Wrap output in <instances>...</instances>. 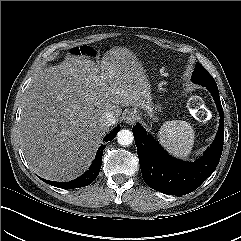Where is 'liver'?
I'll use <instances>...</instances> for the list:
<instances>
[{"label":"liver","mask_w":241,"mask_h":241,"mask_svg":"<svg viewBox=\"0 0 241 241\" xmlns=\"http://www.w3.org/2000/svg\"><path fill=\"white\" fill-rule=\"evenodd\" d=\"M151 103L142 64L127 48H110L96 64L72 55L32 78L19 121L21 146L31 170L52 181H69L88 169L108 130L106 112L116 122L122 107Z\"/></svg>","instance_id":"1"}]
</instances>
